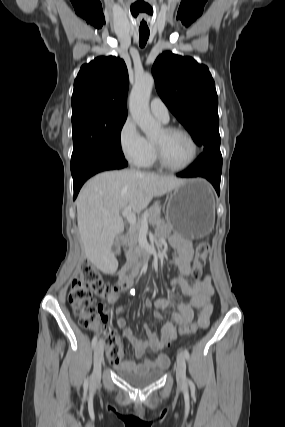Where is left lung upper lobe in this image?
Wrapping results in <instances>:
<instances>
[{"label": "left lung upper lobe", "mask_w": 285, "mask_h": 427, "mask_svg": "<svg viewBox=\"0 0 285 427\" xmlns=\"http://www.w3.org/2000/svg\"><path fill=\"white\" fill-rule=\"evenodd\" d=\"M152 73L156 89L203 152H220L218 97L205 65L171 52L161 54Z\"/></svg>", "instance_id": "5c2ea615"}]
</instances>
